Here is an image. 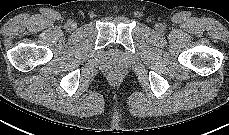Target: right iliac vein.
Segmentation results:
<instances>
[{"label":"right iliac vein","mask_w":229,"mask_h":135,"mask_svg":"<svg viewBox=\"0 0 229 135\" xmlns=\"http://www.w3.org/2000/svg\"><path fill=\"white\" fill-rule=\"evenodd\" d=\"M69 27H70V29L73 30L76 28V24L74 22H70Z\"/></svg>","instance_id":"63e3f726"}]
</instances>
